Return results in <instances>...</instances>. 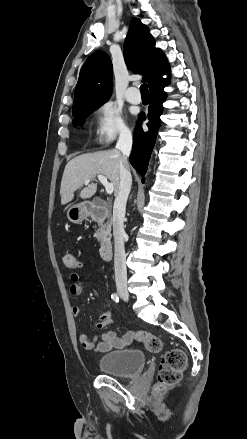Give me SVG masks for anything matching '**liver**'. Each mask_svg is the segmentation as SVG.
Listing matches in <instances>:
<instances>
[{
  "instance_id": "1",
  "label": "liver",
  "mask_w": 247,
  "mask_h": 439,
  "mask_svg": "<svg viewBox=\"0 0 247 439\" xmlns=\"http://www.w3.org/2000/svg\"><path fill=\"white\" fill-rule=\"evenodd\" d=\"M122 153L112 149L79 155L71 159L62 176L60 195L61 204L65 205L74 198V192L85 184L86 179L94 180L96 175H104L114 184L117 195L120 186V160ZM97 191V184H88L81 192L80 198L92 197Z\"/></svg>"
}]
</instances>
